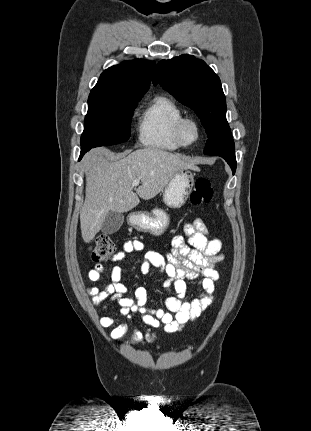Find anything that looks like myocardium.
<instances>
[{
  "instance_id": "1",
  "label": "myocardium",
  "mask_w": 311,
  "mask_h": 431,
  "mask_svg": "<svg viewBox=\"0 0 311 431\" xmlns=\"http://www.w3.org/2000/svg\"><path fill=\"white\" fill-rule=\"evenodd\" d=\"M190 120H192L196 123V125L198 127V132H199L197 138L194 141H188L185 137V134H184V126ZM203 133H204V127H203L201 120L198 117L193 116V115L182 116L176 125L177 139H178L179 143L184 147H190V146L197 144L200 141V139L202 138Z\"/></svg>"
}]
</instances>
